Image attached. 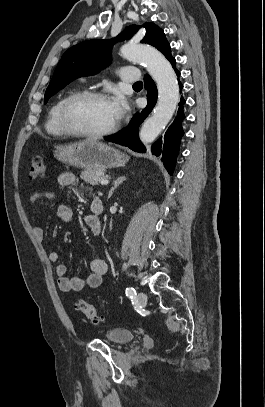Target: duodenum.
I'll list each match as a JSON object with an SVG mask.
<instances>
[{
  "label": "duodenum",
  "instance_id": "duodenum-1",
  "mask_svg": "<svg viewBox=\"0 0 265 407\" xmlns=\"http://www.w3.org/2000/svg\"><path fill=\"white\" fill-rule=\"evenodd\" d=\"M91 209L95 215H100L104 210V203L101 199L95 198L91 203Z\"/></svg>",
  "mask_w": 265,
  "mask_h": 407
}]
</instances>
